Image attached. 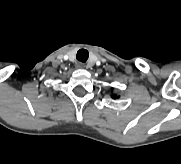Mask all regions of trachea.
Listing matches in <instances>:
<instances>
[{
	"label": "trachea",
	"mask_w": 181,
	"mask_h": 164,
	"mask_svg": "<svg viewBox=\"0 0 181 164\" xmlns=\"http://www.w3.org/2000/svg\"><path fill=\"white\" fill-rule=\"evenodd\" d=\"M89 57V52L86 49H80L77 52L76 58L81 62H86Z\"/></svg>",
	"instance_id": "obj_1"
}]
</instances>
